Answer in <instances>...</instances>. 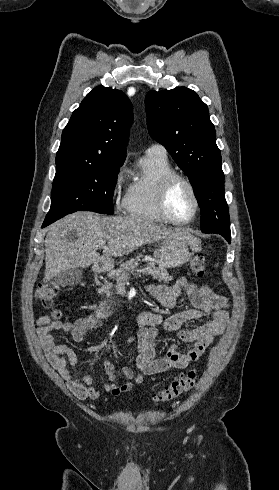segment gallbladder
I'll list each match as a JSON object with an SVG mask.
<instances>
[{"label": "gallbladder", "mask_w": 279, "mask_h": 490, "mask_svg": "<svg viewBox=\"0 0 279 490\" xmlns=\"http://www.w3.org/2000/svg\"><path fill=\"white\" fill-rule=\"evenodd\" d=\"M82 274V270L73 268V270H66V272H61V274L55 276L54 282L57 286H75V284L80 282Z\"/></svg>", "instance_id": "1"}]
</instances>
